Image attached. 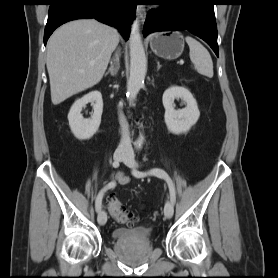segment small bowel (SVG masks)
Here are the masks:
<instances>
[{
    "label": "small bowel",
    "mask_w": 278,
    "mask_h": 278,
    "mask_svg": "<svg viewBox=\"0 0 278 278\" xmlns=\"http://www.w3.org/2000/svg\"><path fill=\"white\" fill-rule=\"evenodd\" d=\"M113 183H119L121 185H126L130 182V178L126 175H124L123 173H117L115 176H114V180L111 181Z\"/></svg>",
    "instance_id": "1"
}]
</instances>
